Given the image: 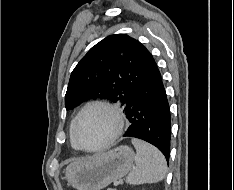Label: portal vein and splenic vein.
<instances>
[{
    "label": "portal vein and splenic vein",
    "mask_w": 234,
    "mask_h": 190,
    "mask_svg": "<svg viewBox=\"0 0 234 190\" xmlns=\"http://www.w3.org/2000/svg\"><path fill=\"white\" fill-rule=\"evenodd\" d=\"M115 185H118V182H115Z\"/></svg>",
    "instance_id": "18ae733b"
}]
</instances>
